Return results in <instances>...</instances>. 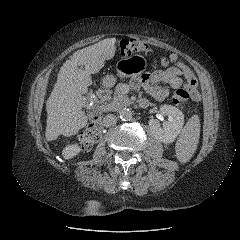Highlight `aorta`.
Wrapping results in <instances>:
<instances>
[{"instance_id":"aorta-1","label":"aorta","mask_w":240,"mask_h":240,"mask_svg":"<svg viewBox=\"0 0 240 240\" xmlns=\"http://www.w3.org/2000/svg\"><path fill=\"white\" fill-rule=\"evenodd\" d=\"M119 116L124 121H129L132 119V111L129 108H122L119 111Z\"/></svg>"}]
</instances>
